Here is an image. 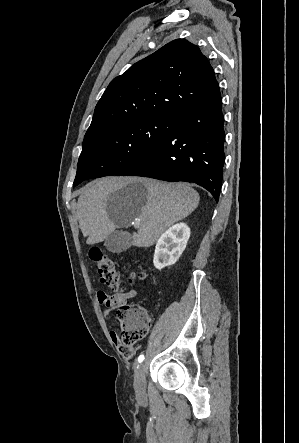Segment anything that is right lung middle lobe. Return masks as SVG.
Segmentation results:
<instances>
[{"label":"right lung middle lobe","instance_id":"dd1d6c3e","mask_svg":"<svg viewBox=\"0 0 299 443\" xmlns=\"http://www.w3.org/2000/svg\"><path fill=\"white\" fill-rule=\"evenodd\" d=\"M172 129L170 117H152L122 123L86 137L73 186L87 179L116 175L149 154Z\"/></svg>","mask_w":299,"mask_h":443}]
</instances>
